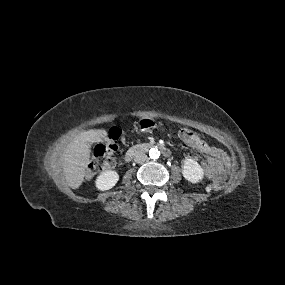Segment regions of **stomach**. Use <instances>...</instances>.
<instances>
[{
  "instance_id": "stomach-1",
  "label": "stomach",
  "mask_w": 285,
  "mask_h": 285,
  "mask_svg": "<svg viewBox=\"0 0 285 285\" xmlns=\"http://www.w3.org/2000/svg\"><path fill=\"white\" fill-rule=\"evenodd\" d=\"M142 128L145 129H150V128H154L157 126V124L155 122L149 121V120H144L142 121L141 125Z\"/></svg>"
}]
</instances>
